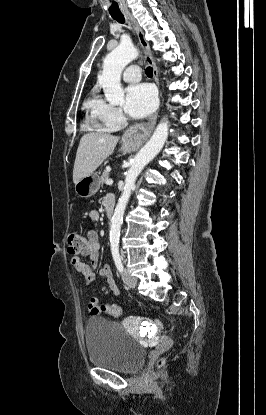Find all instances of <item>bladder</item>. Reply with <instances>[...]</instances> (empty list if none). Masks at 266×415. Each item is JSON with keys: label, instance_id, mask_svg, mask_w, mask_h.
<instances>
[{"label": "bladder", "instance_id": "obj_1", "mask_svg": "<svg viewBox=\"0 0 266 415\" xmlns=\"http://www.w3.org/2000/svg\"><path fill=\"white\" fill-rule=\"evenodd\" d=\"M85 341L88 359L94 366L133 373L146 358V349L120 323L104 317L88 319Z\"/></svg>", "mask_w": 266, "mask_h": 415}]
</instances>
